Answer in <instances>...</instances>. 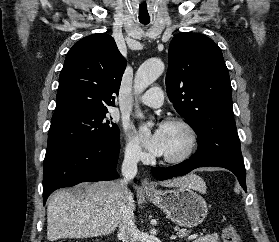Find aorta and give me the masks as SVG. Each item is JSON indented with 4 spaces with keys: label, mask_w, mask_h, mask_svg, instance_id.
Here are the masks:
<instances>
[{
    "label": "aorta",
    "mask_w": 279,
    "mask_h": 242,
    "mask_svg": "<svg viewBox=\"0 0 279 242\" xmlns=\"http://www.w3.org/2000/svg\"><path fill=\"white\" fill-rule=\"evenodd\" d=\"M164 71V63L161 59L154 58L144 62L136 72L134 87L135 91L140 93L151 85ZM141 116L140 113H138ZM152 122H148L141 126V129L149 133V127Z\"/></svg>",
    "instance_id": "762f6f07"
}]
</instances>
